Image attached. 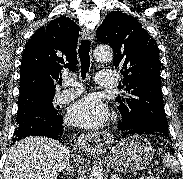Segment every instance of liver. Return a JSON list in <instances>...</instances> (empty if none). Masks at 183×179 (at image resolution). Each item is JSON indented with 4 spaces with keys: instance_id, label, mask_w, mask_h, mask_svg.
I'll use <instances>...</instances> for the list:
<instances>
[{
    "instance_id": "obj_1",
    "label": "liver",
    "mask_w": 183,
    "mask_h": 179,
    "mask_svg": "<svg viewBox=\"0 0 183 179\" xmlns=\"http://www.w3.org/2000/svg\"><path fill=\"white\" fill-rule=\"evenodd\" d=\"M69 158V150L58 141L30 136L10 149L2 179H57Z\"/></svg>"
}]
</instances>
